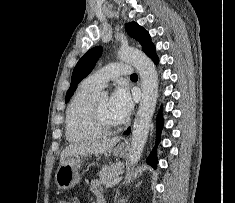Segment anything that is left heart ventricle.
Returning <instances> with one entry per match:
<instances>
[{
    "mask_svg": "<svg viewBox=\"0 0 235 203\" xmlns=\"http://www.w3.org/2000/svg\"><path fill=\"white\" fill-rule=\"evenodd\" d=\"M97 105L100 114L107 125L117 126L121 123V121L111 112L108 98L98 99Z\"/></svg>",
    "mask_w": 235,
    "mask_h": 203,
    "instance_id": "obj_1",
    "label": "left heart ventricle"
}]
</instances>
